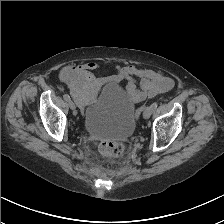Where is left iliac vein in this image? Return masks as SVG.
Masks as SVG:
<instances>
[{"mask_svg":"<svg viewBox=\"0 0 224 224\" xmlns=\"http://www.w3.org/2000/svg\"><path fill=\"white\" fill-rule=\"evenodd\" d=\"M152 113H153V110H152L151 106L147 107L143 112L144 119H149L150 116L152 115Z\"/></svg>","mask_w":224,"mask_h":224,"instance_id":"4c4485c4","label":"left iliac vein"}]
</instances>
